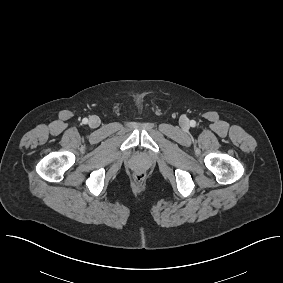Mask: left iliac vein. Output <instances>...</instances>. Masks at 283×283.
<instances>
[{
	"label": "left iliac vein",
	"instance_id": "4c4485c4",
	"mask_svg": "<svg viewBox=\"0 0 283 283\" xmlns=\"http://www.w3.org/2000/svg\"><path fill=\"white\" fill-rule=\"evenodd\" d=\"M183 124H187V120L186 119H183Z\"/></svg>",
	"mask_w": 283,
	"mask_h": 283
}]
</instances>
